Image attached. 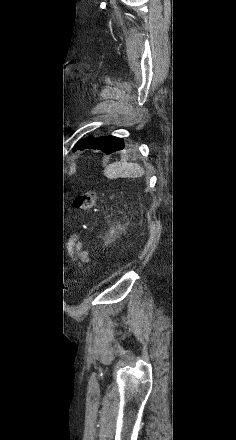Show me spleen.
Listing matches in <instances>:
<instances>
[{
  "label": "spleen",
  "mask_w": 236,
  "mask_h": 440,
  "mask_svg": "<svg viewBox=\"0 0 236 440\" xmlns=\"http://www.w3.org/2000/svg\"><path fill=\"white\" fill-rule=\"evenodd\" d=\"M144 173V168L141 165L126 161L112 163L105 169V175L110 179L118 177L137 178L143 176Z\"/></svg>",
  "instance_id": "1"
}]
</instances>
